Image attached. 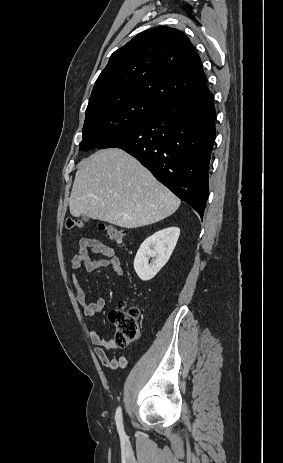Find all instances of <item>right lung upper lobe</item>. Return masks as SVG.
Masks as SVG:
<instances>
[{
	"instance_id": "1",
	"label": "right lung upper lobe",
	"mask_w": 283,
	"mask_h": 463,
	"mask_svg": "<svg viewBox=\"0 0 283 463\" xmlns=\"http://www.w3.org/2000/svg\"><path fill=\"white\" fill-rule=\"evenodd\" d=\"M125 91L159 106L208 91L201 60L179 30H147L116 50L95 82L89 100Z\"/></svg>"
}]
</instances>
